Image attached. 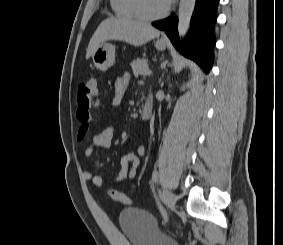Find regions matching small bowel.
Listing matches in <instances>:
<instances>
[{"mask_svg":"<svg viewBox=\"0 0 283 245\" xmlns=\"http://www.w3.org/2000/svg\"><path fill=\"white\" fill-rule=\"evenodd\" d=\"M129 82V76L127 74L118 77L115 81L114 97L112 99V105H118L126 91ZM117 126L114 123L109 124L101 131L94 134L89 145L85 149V156H93L95 149L108 150L112 146V141L115 136ZM144 146L141 145L136 152H131L124 155L121 158V169L119 173L113 178V183H119L125 179H134L137 175L138 168L141 163V158L144 155ZM83 175L86 180L90 181L95 186H102L105 182L104 178L100 175L94 174L91 170L85 169Z\"/></svg>","mask_w":283,"mask_h":245,"instance_id":"small-bowel-1","label":"small bowel"}]
</instances>
